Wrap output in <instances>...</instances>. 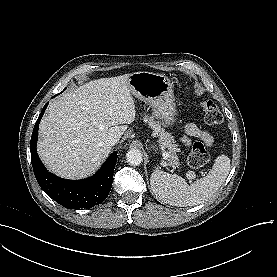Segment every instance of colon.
Instances as JSON below:
<instances>
[{"mask_svg":"<svg viewBox=\"0 0 277 277\" xmlns=\"http://www.w3.org/2000/svg\"><path fill=\"white\" fill-rule=\"evenodd\" d=\"M204 121L209 125L220 124L223 116L218 106L211 100H203L200 104ZM210 159L208 150L203 141H197L188 155V165L194 170L203 168Z\"/></svg>","mask_w":277,"mask_h":277,"instance_id":"5ec220e1","label":"colon"}]
</instances>
